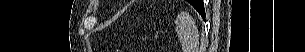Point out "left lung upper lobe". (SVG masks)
Listing matches in <instances>:
<instances>
[{
    "instance_id": "1",
    "label": "left lung upper lobe",
    "mask_w": 305,
    "mask_h": 52,
    "mask_svg": "<svg viewBox=\"0 0 305 52\" xmlns=\"http://www.w3.org/2000/svg\"><path fill=\"white\" fill-rule=\"evenodd\" d=\"M191 5H193L195 8L200 6L201 3H199V0H189L188 1Z\"/></svg>"
}]
</instances>
